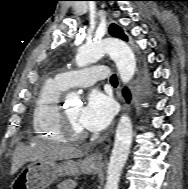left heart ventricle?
<instances>
[{
	"label": "left heart ventricle",
	"mask_w": 188,
	"mask_h": 189,
	"mask_svg": "<svg viewBox=\"0 0 188 189\" xmlns=\"http://www.w3.org/2000/svg\"><path fill=\"white\" fill-rule=\"evenodd\" d=\"M81 111L80 105H74L66 109V112L68 114V117L71 121L72 126L76 130H83L84 128L79 123V115Z\"/></svg>",
	"instance_id": "b2bd125f"
}]
</instances>
